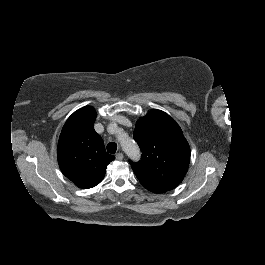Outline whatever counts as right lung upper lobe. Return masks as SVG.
<instances>
[{
	"label": "right lung upper lobe",
	"instance_id": "cb5924a9",
	"mask_svg": "<svg viewBox=\"0 0 265 265\" xmlns=\"http://www.w3.org/2000/svg\"><path fill=\"white\" fill-rule=\"evenodd\" d=\"M95 119V109L85 106L68 118L59 137V167L80 188L99 184L115 158L105 151L102 138L95 132Z\"/></svg>",
	"mask_w": 265,
	"mask_h": 265
}]
</instances>
